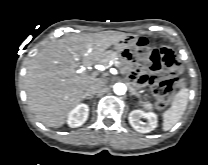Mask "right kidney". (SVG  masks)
Masks as SVG:
<instances>
[{"instance_id":"ca27d5eb","label":"right kidney","mask_w":208,"mask_h":165,"mask_svg":"<svg viewBox=\"0 0 208 165\" xmlns=\"http://www.w3.org/2000/svg\"><path fill=\"white\" fill-rule=\"evenodd\" d=\"M89 115V107L86 104H79L70 111L67 123L71 128H76L85 123Z\"/></svg>"}]
</instances>
